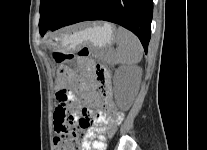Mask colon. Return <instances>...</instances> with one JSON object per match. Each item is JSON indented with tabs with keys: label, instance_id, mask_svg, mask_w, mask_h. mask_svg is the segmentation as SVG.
<instances>
[{
	"label": "colon",
	"instance_id": "obj_1",
	"mask_svg": "<svg viewBox=\"0 0 207 150\" xmlns=\"http://www.w3.org/2000/svg\"><path fill=\"white\" fill-rule=\"evenodd\" d=\"M89 54L88 49L83 48L78 52V56L83 57ZM54 60L59 64L71 63L75 55L67 54L62 51L53 53ZM61 82H68V86L57 87L58 106L54 107V115L50 121L54 123L53 132H58L55 138V150H80V147L87 140L85 129L92 123V118L87 110L83 111L79 119V128L71 127V111L75 110L76 99L72 91V77H68V73L64 68L59 71Z\"/></svg>",
	"mask_w": 207,
	"mask_h": 150
}]
</instances>
